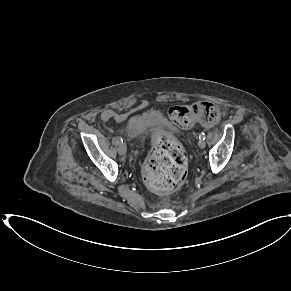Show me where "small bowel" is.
I'll return each mask as SVG.
<instances>
[{
  "instance_id": "small-bowel-1",
  "label": "small bowel",
  "mask_w": 291,
  "mask_h": 291,
  "mask_svg": "<svg viewBox=\"0 0 291 291\" xmlns=\"http://www.w3.org/2000/svg\"><path fill=\"white\" fill-rule=\"evenodd\" d=\"M101 119L104 121H108V120L121 121V120H124V116L112 110H105L101 114Z\"/></svg>"
}]
</instances>
